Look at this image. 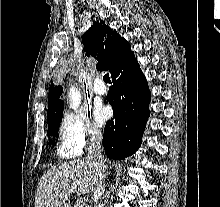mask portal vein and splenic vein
Returning a JSON list of instances; mask_svg holds the SVG:
<instances>
[{"mask_svg":"<svg viewBox=\"0 0 220 207\" xmlns=\"http://www.w3.org/2000/svg\"><path fill=\"white\" fill-rule=\"evenodd\" d=\"M80 207H89L87 204H85V203H81V205H80Z\"/></svg>","mask_w":220,"mask_h":207,"instance_id":"obj_1","label":"portal vein and splenic vein"}]
</instances>
